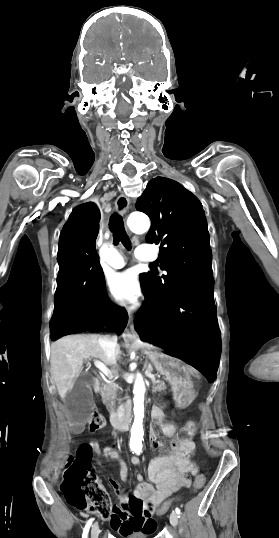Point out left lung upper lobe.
Wrapping results in <instances>:
<instances>
[{
	"instance_id": "left-lung-upper-lobe-1",
	"label": "left lung upper lobe",
	"mask_w": 279,
	"mask_h": 538,
	"mask_svg": "<svg viewBox=\"0 0 279 538\" xmlns=\"http://www.w3.org/2000/svg\"><path fill=\"white\" fill-rule=\"evenodd\" d=\"M146 213L152 226L148 243L160 244V268L141 273L140 282L146 302V314L158 311L178 290L204 278L212 277V252L207 221L199 200L178 182L164 177L152 179L136 203Z\"/></svg>"
}]
</instances>
